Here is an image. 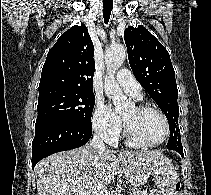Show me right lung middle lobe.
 <instances>
[{"instance_id":"obj_1","label":"right lung middle lobe","mask_w":211,"mask_h":195,"mask_svg":"<svg viewBox=\"0 0 211 195\" xmlns=\"http://www.w3.org/2000/svg\"><path fill=\"white\" fill-rule=\"evenodd\" d=\"M94 104L93 92L73 89H50L39 92L35 127L52 121L91 125Z\"/></svg>"}]
</instances>
